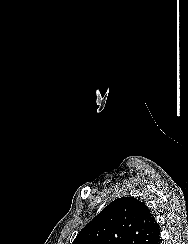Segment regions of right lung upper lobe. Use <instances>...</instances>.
Wrapping results in <instances>:
<instances>
[{"mask_svg":"<svg viewBox=\"0 0 188 244\" xmlns=\"http://www.w3.org/2000/svg\"><path fill=\"white\" fill-rule=\"evenodd\" d=\"M160 230L147 206L134 197L112 201L72 244H148Z\"/></svg>","mask_w":188,"mask_h":244,"instance_id":"1","label":"right lung upper lobe"}]
</instances>
